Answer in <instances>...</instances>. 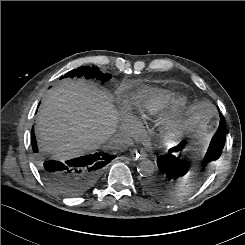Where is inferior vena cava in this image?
I'll list each match as a JSON object with an SVG mask.
<instances>
[{"label":"inferior vena cava","mask_w":245,"mask_h":245,"mask_svg":"<svg viewBox=\"0 0 245 245\" xmlns=\"http://www.w3.org/2000/svg\"><path fill=\"white\" fill-rule=\"evenodd\" d=\"M132 143H133L132 140L126 136H116L109 140L105 148L106 150H112V151H124L130 145H132Z\"/></svg>","instance_id":"1"}]
</instances>
